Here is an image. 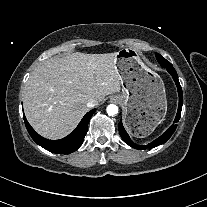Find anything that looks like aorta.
I'll return each mask as SVG.
<instances>
[{
    "mask_svg": "<svg viewBox=\"0 0 207 207\" xmlns=\"http://www.w3.org/2000/svg\"><path fill=\"white\" fill-rule=\"evenodd\" d=\"M106 110L109 116H115L118 113V107L115 104L108 105Z\"/></svg>",
    "mask_w": 207,
    "mask_h": 207,
    "instance_id": "aorta-1",
    "label": "aorta"
}]
</instances>
